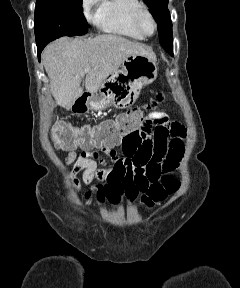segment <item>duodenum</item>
<instances>
[{"mask_svg": "<svg viewBox=\"0 0 240 288\" xmlns=\"http://www.w3.org/2000/svg\"><path fill=\"white\" fill-rule=\"evenodd\" d=\"M88 99H89V96L84 95V96H82V97L80 98L79 102H80L81 104H85V103L88 101Z\"/></svg>", "mask_w": 240, "mask_h": 288, "instance_id": "duodenum-1", "label": "duodenum"}]
</instances>
